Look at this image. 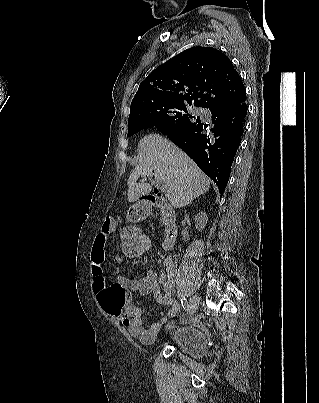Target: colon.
I'll list each match as a JSON object with an SVG mask.
<instances>
[{
    "label": "colon",
    "instance_id": "obj_1",
    "mask_svg": "<svg viewBox=\"0 0 319 403\" xmlns=\"http://www.w3.org/2000/svg\"><path fill=\"white\" fill-rule=\"evenodd\" d=\"M144 233V226H125L122 235L124 260H141L142 254H153L156 248L154 235Z\"/></svg>",
    "mask_w": 319,
    "mask_h": 403
}]
</instances>
